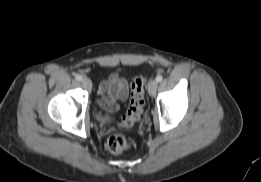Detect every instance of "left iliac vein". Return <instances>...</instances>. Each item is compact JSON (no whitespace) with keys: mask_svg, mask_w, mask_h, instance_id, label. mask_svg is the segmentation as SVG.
<instances>
[{"mask_svg":"<svg viewBox=\"0 0 261 182\" xmlns=\"http://www.w3.org/2000/svg\"><path fill=\"white\" fill-rule=\"evenodd\" d=\"M158 87V82L156 80H151L148 85V92L151 96H154L156 94Z\"/></svg>","mask_w":261,"mask_h":182,"instance_id":"obj_1","label":"left iliac vein"}]
</instances>
